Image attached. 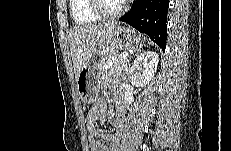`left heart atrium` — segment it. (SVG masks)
I'll use <instances>...</instances> for the list:
<instances>
[{"label":"left heart atrium","mask_w":231,"mask_h":151,"mask_svg":"<svg viewBox=\"0 0 231 151\" xmlns=\"http://www.w3.org/2000/svg\"><path fill=\"white\" fill-rule=\"evenodd\" d=\"M119 1H121V2H126L127 0H119Z\"/></svg>","instance_id":"left-heart-atrium-1"}]
</instances>
